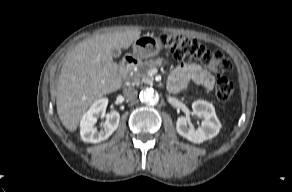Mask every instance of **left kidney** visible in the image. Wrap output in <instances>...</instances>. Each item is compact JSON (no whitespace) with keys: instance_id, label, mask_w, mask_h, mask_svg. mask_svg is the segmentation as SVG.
Listing matches in <instances>:
<instances>
[{"instance_id":"5707ae66","label":"left kidney","mask_w":292,"mask_h":192,"mask_svg":"<svg viewBox=\"0 0 292 192\" xmlns=\"http://www.w3.org/2000/svg\"><path fill=\"white\" fill-rule=\"evenodd\" d=\"M193 113L196 116L203 117L201 126L198 129L188 127L187 119L184 116L178 117L176 121V130L179 135L193 143H202L215 137L221 128V123L215 113L212 103L204 100H197L192 103Z\"/></svg>"}]
</instances>
